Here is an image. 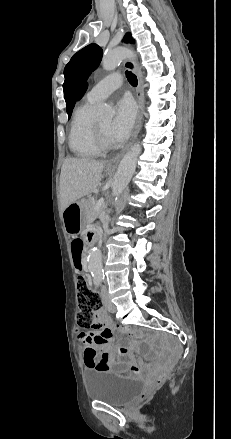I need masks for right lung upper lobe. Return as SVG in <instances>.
I'll list each match as a JSON object with an SVG mask.
<instances>
[{
	"label": "right lung upper lobe",
	"mask_w": 231,
	"mask_h": 439,
	"mask_svg": "<svg viewBox=\"0 0 231 439\" xmlns=\"http://www.w3.org/2000/svg\"><path fill=\"white\" fill-rule=\"evenodd\" d=\"M86 89H87V84H86L85 87L82 89V91H81V93H80L78 99L81 98V96L85 93Z\"/></svg>",
	"instance_id": "right-lung-upper-lobe-1"
}]
</instances>
